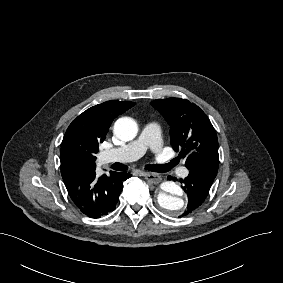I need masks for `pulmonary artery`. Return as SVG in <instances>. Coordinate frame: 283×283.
<instances>
[{"instance_id":"obj_1","label":"pulmonary artery","mask_w":283,"mask_h":283,"mask_svg":"<svg viewBox=\"0 0 283 283\" xmlns=\"http://www.w3.org/2000/svg\"><path fill=\"white\" fill-rule=\"evenodd\" d=\"M161 136V128L149 123L141 129L137 142L120 147L118 150H107L103 153L102 158L107 163H125L141 158L150 150L161 155L166 150L160 139ZM176 173L179 177L184 178L188 175L189 170L186 166L181 165L177 168Z\"/></svg>"}]
</instances>
